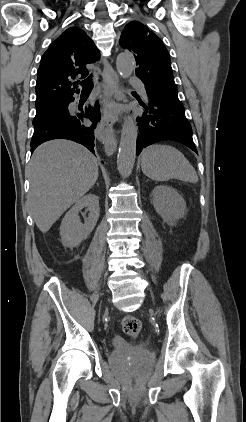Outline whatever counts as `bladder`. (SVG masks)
<instances>
[{
	"label": "bladder",
	"instance_id": "bladder-1",
	"mask_svg": "<svg viewBox=\"0 0 246 422\" xmlns=\"http://www.w3.org/2000/svg\"><path fill=\"white\" fill-rule=\"evenodd\" d=\"M109 360L112 365L129 360L139 368H147L153 364L154 356L147 350L117 347L110 354Z\"/></svg>",
	"mask_w": 246,
	"mask_h": 422
}]
</instances>
